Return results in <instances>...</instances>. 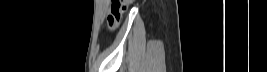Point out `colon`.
Instances as JSON below:
<instances>
[{"label":"colon","instance_id":"colon-1","mask_svg":"<svg viewBox=\"0 0 267 72\" xmlns=\"http://www.w3.org/2000/svg\"><path fill=\"white\" fill-rule=\"evenodd\" d=\"M132 2L133 0H112L111 1V8H110L109 13L107 14L108 26L110 28H114L119 24L120 19L125 13L128 5Z\"/></svg>","mask_w":267,"mask_h":72}]
</instances>
